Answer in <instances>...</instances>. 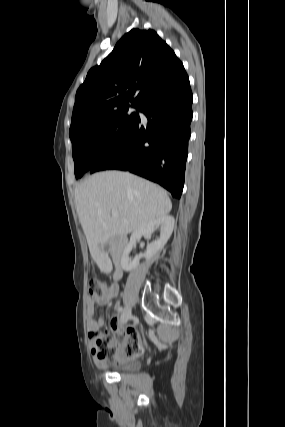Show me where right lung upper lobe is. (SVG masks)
<instances>
[{"instance_id":"obj_1","label":"right lung upper lobe","mask_w":285,"mask_h":427,"mask_svg":"<svg viewBox=\"0 0 285 427\" xmlns=\"http://www.w3.org/2000/svg\"><path fill=\"white\" fill-rule=\"evenodd\" d=\"M183 68L154 30L132 29L77 90L69 133L129 104L140 105L150 90Z\"/></svg>"}]
</instances>
